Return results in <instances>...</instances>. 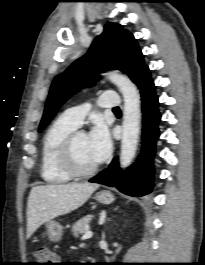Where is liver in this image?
Segmentation results:
<instances>
[{
	"instance_id": "1",
	"label": "liver",
	"mask_w": 205,
	"mask_h": 265,
	"mask_svg": "<svg viewBox=\"0 0 205 265\" xmlns=\"http://www.w3.org/2000/svg\"><path fill=\"white\" fill-rule=\"evenodd\" d=\"M98 187L91 183L33 187L27 202V238L42 224L78 209Z\"/></svg>"
}]
</instances>
